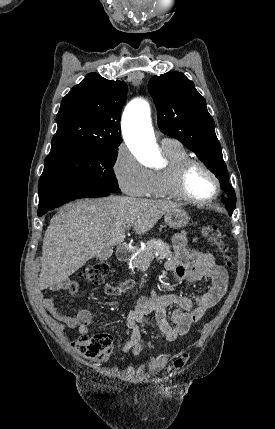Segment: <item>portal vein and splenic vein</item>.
Returning a JSON list of instances; mask_svg holds the SVG:
<instances>
[{
  "instance_id": "portal-vein-and-splenic-vein-1",
  "label": "portal vein and splenic vein",
  "mask_w": 275,
  "mask_h": 429,
  "mask_svg": "<svg viewBox=\"0 0 275 429\" xmlns=\"http://www.w3.org/2000/svg\"><path fill=\"white\" fill-rule=\"evenodd\" d=\"M130 228H131V226H126L125 227L126 230H129Z\"/></svg>"
}]
</instances>
